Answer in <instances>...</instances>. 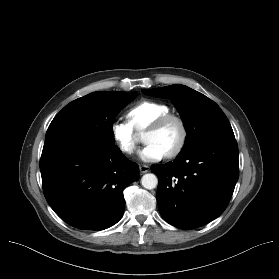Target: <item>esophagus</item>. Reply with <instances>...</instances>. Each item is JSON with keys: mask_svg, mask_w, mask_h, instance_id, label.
I'll list each match as a JSON object with an SVG mask.
<instances>
[{"mask_svg": "<svg viewBox=\"0 0 279 279\" xmlns=\"http://www.w3.org/2000/svg\"><path fill=\"white\" fill-rule=\"evenodd\" d=\"M149 170H150V168L147 165H141L140 166V172L141 173H147V172H149Z\"/></svg>", "mask_w": 279, "mask_h": 279, "instance_id": "esophagus-1", "label": "esophagus"}]
</instances>
